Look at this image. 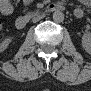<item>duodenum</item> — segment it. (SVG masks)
<instances>
[{"instance_id": "1", "label": "duodenum", "mask_w": 91, "mask_h": 91, "mask_svg": "<svg viewBox=\"0 0 91 91\" xmlns=\"http://www.w3.org/2000/svg\"><path fill=\"white\" fill-rule=\"evenodd\" d=\"M47 12H59L62 10V6L57 3H51L46 7ZM29 23V18L26 16H19L15 21L17 29H24Z\"/></svg>"}]
</instances>
